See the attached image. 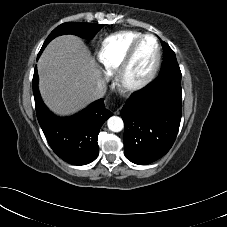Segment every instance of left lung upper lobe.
<instances>
[{
    "mask_svg": "<svg viewBox=\"0 0 227 227\" xmlns=\"http://www.w3.org/2000/svg\"><path fill=\"white\" fill-rule=\"evenodd\" d=\"M163 63L157 80H171L181 83V71L174 51L167 43L162 41Z\"/></svg>",
    "mask_w": 227,
    "mask_h": 227,
    "instance_id": "obj_1",
    "label": "left lung upper lobe"
}]
</instances>
